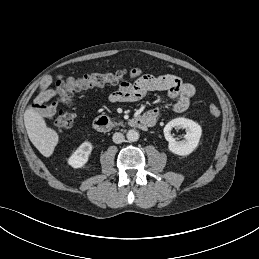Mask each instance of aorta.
<instances>
[{"label": "aorta", "mask_w": 259, "mask_h": 259, "mask_svg": "<svg viewBox=\"0 0 259 259\" xmlns=\"http://www.w3.org/2000/svg\"><path fill=\"white\" fill-rule=\"evenodd\" d=\"M126 136L130 142H135L139 139V133L134 129L129 130Z\"/></svg>", "instance_id": "1"}]
</instances>
